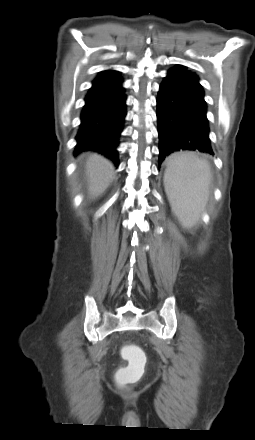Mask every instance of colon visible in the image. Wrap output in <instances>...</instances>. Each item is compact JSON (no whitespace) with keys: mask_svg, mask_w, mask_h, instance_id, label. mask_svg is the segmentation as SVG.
I'll list each match as a JSON object with an SVG mask.
<instances>
[{"mask_svg":"<svg viewBox=\"0 0 255 440\" xmlns=\"http://www.w3.org/2000/svg\"><path fill=\"white\" fill-rule=\"evenodd\" d=\"M123 359L129 362L119 374V382L127 384L136 381L143 372L144 357L142 351L135 345H125L121 350Z\"/></svg>","mask_w":255,"mask_h":440,"instance_id":"obj_1","label":"colon"}]
</instances>
